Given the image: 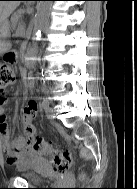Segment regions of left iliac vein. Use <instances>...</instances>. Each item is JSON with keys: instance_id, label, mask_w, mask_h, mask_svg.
Returning a JSON list of instances; mask_svg holds the SVG:
<instances>
[{"instance_id": "obj_1", "label": "left iliac vein", "mask_w": 137, "mask_h": 189, "mask_svg": "<svg viewBox=\"0 0 137 189\" xmlns=\"http://www.w3.org/2000/svg\"><path fill=\"white\" fill-rule=\"evenodd\" d=\"M53 112H54L53 108L49 106H45V113L48 118H52Z\"/></svg>"}]
</instances>
